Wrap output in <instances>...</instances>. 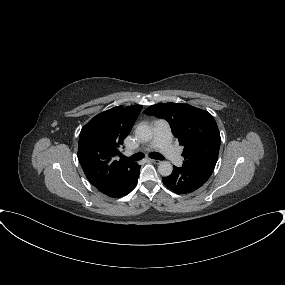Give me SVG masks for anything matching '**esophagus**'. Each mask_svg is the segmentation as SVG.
Masks as SVG:
<instances>
[{
	"label": "esophagus",
	"instance_id": "34e87169",
	"mask_svg": "<svg viewBox=\"0 0 285 285\" xmlns=\"http://www.w3.org/2000/svg\"><path fill=\"white\" fill-rule=\"evenodd\" d=\"M150 161L153 162V163H155V164H160V163H161L160 160H156V159H151Z\"/></svg>",
	"mask_w": 285,
	"mask_h": 285
}]
</instances>
